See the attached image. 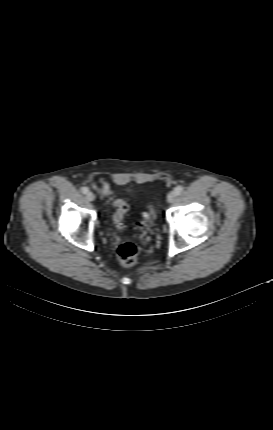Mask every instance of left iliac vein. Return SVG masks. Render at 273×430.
<instances>
[{"label": "left iliac vein", "mask_w": 273, "mask_h": 430, "mask_svg": "<svg viewBox=\"0 0 273 430\" xmlns=\"http://www.w3.org/2000/svg\"><path fill=\"white\" fill-rule=\"evenodd\" d=\"M175 199H176V194H175V192H174V191L170 192V193L168 194V196H167V201H168L169 203H173V202L175 201Z\"/></svg>", "instance_id": "4c4485c4"}]
</instances>
